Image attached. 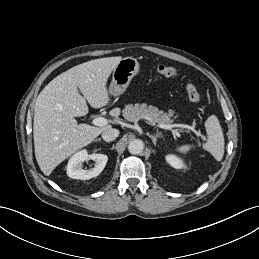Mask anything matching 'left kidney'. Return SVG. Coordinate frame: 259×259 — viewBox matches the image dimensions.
Returning a JSON list of instances; mask_svg holds the SVG:
<instances>
[{
    "label": "left kidney",
    "mask_w": 259,
    "mask_h": 259,
    "mask_svg": "<svg viewBox=\"0 0 259 259\" xmlns=\"http://www.w3.org/2000/svg\"><path fill=\"white\" fill-rule=\"evenodd\" d=\"M166 161L172 166L174 167L175 169H181V168H184L185 165L184 163L182 162V160H180L177 156L175 155H167L166 156Z\"/></svg>",
    "instance_id": "left-kidney-1"
}]
</instances>
